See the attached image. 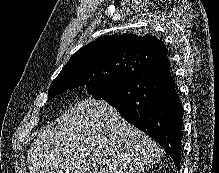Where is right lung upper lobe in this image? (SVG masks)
Instances as JSON below:
<instances>
[{
  "label": "right lung upper lobe",
  "instance_id": "cb5924a9",
  "mask_svg": "<svg viewBox=\"0 0 219 173\" xmlns=\"http://www.w3.org/2000/svg\"><path fill=\"white\" fill-rule=\"evenodd\" d=\"M153 60H168L165 44L156 37L149 34L143 37L135 34L105 35L78 50L57 77L66 72L85 73L115 62L137 67Z\"/></svg>",
  "mask_w": 219,
  "mask_h": 173
}]
</instances>
